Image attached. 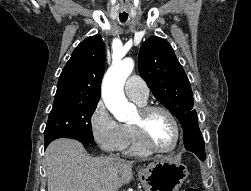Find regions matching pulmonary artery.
Wrapping results in <instances>:
<instances>
[{
	"label": "pulmonary artery",
	"instance_id": "e3ab8cb5",
	"mask_svg": "<svg viewBox=\"0 0 251 191\" xmlns=\"http://www.w3.org/2000/svg\"><path fill=\"white\" fill-rule=\"evenodd\" d=\"M124 91L130 99L137 102H145L149 93L146 82L136 75L127 77Z\"/></svg>",
	"mask_w": 251,
	"mask_h": 191
}]
</instances>
